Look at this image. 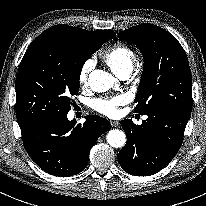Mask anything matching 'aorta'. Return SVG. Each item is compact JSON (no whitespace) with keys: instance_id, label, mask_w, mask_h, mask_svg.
Instances as JSON below:
<instances>
[{"instance_id":"1","label":"aorta","mask_w":206,"mask_h":206,"mask_svg":"<svg viewBox=\"0 0 206 206\" xmlns=\"http://www.w3.org/2000/svg\"><path fill=\"white\" fill-rule=\"evenodd\" d=\"M116 79L103 70H93L89 75V85L94 92H105L109 90ZM107 142L114 148H121L126 143V135L119 129H113L107 134Z\"/></svg>"}]
</instances>
